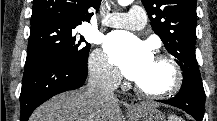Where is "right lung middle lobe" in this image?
Here are the masks:
<instances>
[{"instance_id":"right-lung-middle-lobe-1","label":"right lung middle lobe","mask_w":217,"mask_h":121,"mask_svg":"<svg viewBox=\"0 0 217 121\" xmlns=\"http://www.w3.org/2000/svg\"><path fill=\"white\" fill-rule=\"evenodd\" d=\"M77 26L54 20L31 24L25 64L39 60L87 64L90 44L76 32Z\"/></svg>"}]
</instances>
